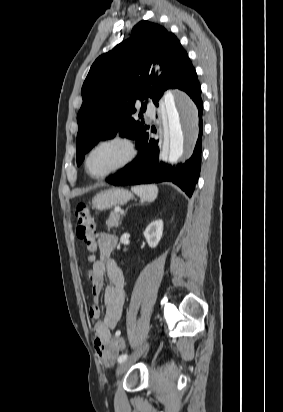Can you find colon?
<instances>
[{
  "label": "colon",
  "instance_id": "colon-1",
  "mask_svg": "<svg viewBox=\"0 0 283 412\" xmlns=\"http://www.w3.org/2000/svg\"><path fill=\"white\" fill-rule=\"evenodd\" d=\"M73 217L77 237L83 240L90 250H94L96 248V236L94 233V221L89 206L87 204H79L74 211ZM124 349V339L116 335L110 343L104 347L103 351L108 355Z\"/></svg>",
  "mask_w": 283,
  "mask_h": 412
}]
</instances>
